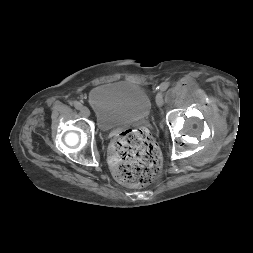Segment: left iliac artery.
<instances>
[{
    "mask_svg": "<svg viewBox=\"0 0 253 253\" xmlns=\"http://www.w3.org/2000/svg\"><path fill=\"white\" fill-rule=\"evenodd\" d=\"M168 87H169V82H163V83H161V85L159 86V89H160L161 91H165Z\"/></svg>",
    "mask_w": 253,
    "mask_h": 253,
    "instance_id": "obj_1",
    "label": "left iliac artery"
}]
</instances>
